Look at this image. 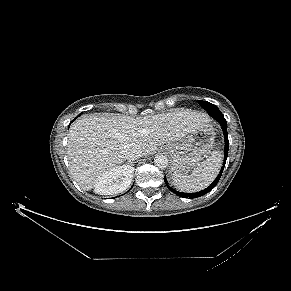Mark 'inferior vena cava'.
<instances>
[{
  "instance_id": "inferior-vena-cava-1",
  "label": "inferior vena cava",
  "mask_w": 291,
  "mask_h": 291,
  "mask_svg": "<svg viewBox=\"0 0 291 291\" xmlns=\"http://www.w3.org/2000/svg\"><path fill=\"white\" fill-rule=\"evenodd\" d=\"M125 155H126V159L130 161L137 160L138 158L142 156V151L137 146H131L125 150Z\"/></svg>"
}]
</instances>
